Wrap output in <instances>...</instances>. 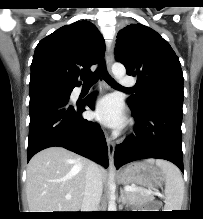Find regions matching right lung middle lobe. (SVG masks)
<instances>
[{
    "label": "right lung middle lobe",
    "instance_id": "dd1d6c3e",
    "mask_svg": "<svg viewBox=\"0 0 203 219\" xmlns=\"http://www.w3.org/2000/svg\"><path fill=\"white\" fill-rule=\"evenodd\" d=\"M30 95L43 90H57L62 91L65 94H70L72 86L62 84L53 80H37L30 82L29 85Z\"/></svg>",
    "mask_w": 203,
    "mask_h": 219
}]
</instances>
